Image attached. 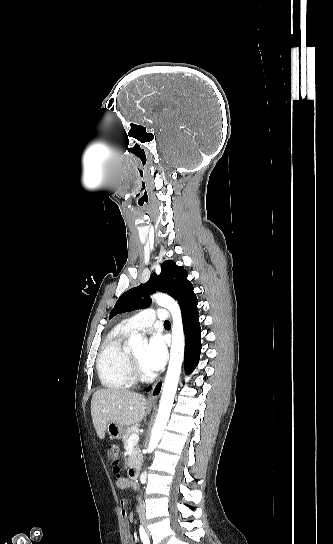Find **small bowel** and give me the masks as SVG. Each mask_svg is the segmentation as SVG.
Returning <instances> with one entry per match:
<instances>
[{"mask_svg": "<svg viewBox=\"0 0 333 544\" xmlns=\"http://www.w3.org/2000/svg\"><path fill=\"white\" fill-rule=\"evenodd\" d=\"M116 484H117V487L121 490L132 489L134 487V484L130 480L124 477L119 478ZM121 505H122V516L123 518H126L127 512L124 509L125 500H121ZM126 541L128 544H133V537L130 533H127Z\"/></svg>", "mask_w": 333, "mask_h": 544, "instance_id": "1", "label": "small bowel"}]
</instances>
